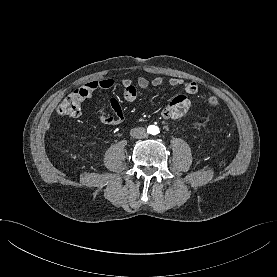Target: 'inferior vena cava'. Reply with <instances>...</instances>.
Here are the masks:
<instances>
[{
  "mask_svg": "<svg viewBox=\"0 0 277 277\" xmlns=\"http://www.w3.org/2000/svg\"><path fill=\"white\" fill-rule=\"evenodd\" d=\"M130 135L133 138L140 139V138H145L147 136V133H146V130L143 127H137V128H133L130 131Z\"/></svg>",
  "mask_w": 277,
  "mask_h": 277,
  "instance_id": "obj_1",
  "label": "inferior vena cava"
}]
</instances>
